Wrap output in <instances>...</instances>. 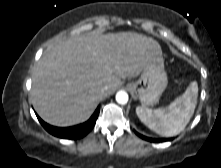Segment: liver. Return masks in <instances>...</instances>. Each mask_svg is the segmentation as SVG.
Instances as JSON below:
<instances>
[{"instance_id": "6515ba94", "label": "liver", "mask_w": 221, "mask_h": 168, "mask_svg": "<svg viewBox=\"0 0 221 168\" xmlns=\"http://www.w3.org/2000/svg\"><path fill=\"white\" fill-rule=\"evenodd\" d=\"M153 60L163 61L160 44L138 33L87 34L60 41L33 69V106L51 125L82 123L99 100L118 88L121 77L138 76Z\"/></svg>"}]
</instances>
